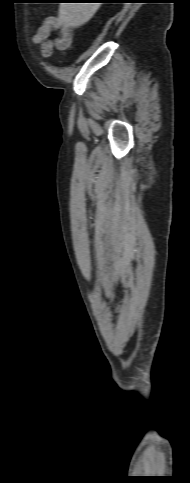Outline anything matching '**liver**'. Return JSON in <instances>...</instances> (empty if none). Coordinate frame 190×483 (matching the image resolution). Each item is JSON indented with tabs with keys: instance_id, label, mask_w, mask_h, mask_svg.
<instances>
[{
	"instance_id": "6515ba94",
	"label": "liver",
	"mask_w": 190,
	"mask_h": 483,
	"mask_svg": "<svg viewBox=\"0 0 190 483\" xmlns=\"http://www.w3.org/2000/svg\"><path fill=\"white\" fill-rule=\"evenodd\" d=\"M100 3H61L58 20L68 27H79L87 23L99 9Z\"/></svg>"
}]
</instances>
